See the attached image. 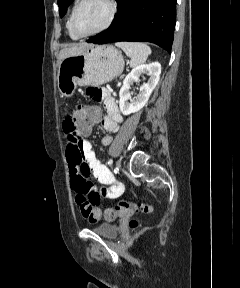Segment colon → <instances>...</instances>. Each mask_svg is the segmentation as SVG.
Masks as SVG:
<instances>
[{"mask_svg": "<svg viewBox=\"0 0 240 288\" xmlns=\"http://www.w3.org/2000/svg\"><path fill=\"white\" fill-rule=\"evenodd\" d=\"M71 115V121L78 130H90L98 122L100 117V110L95 106L78 105L74 108ZM100 198L91 197L87 198L82 194L76 196V203L79 206L82 216L90 222H96L101 219L113 221L116 218H129L132 217L139 210L150 212L151 207L145 204H136L132 202L122 201L114 207L105 210L99 209L96 204ZM135 221L130 222L131 227H136Z\"/></svg>", "mask_w": 240, "mask_h": 288, "instance_id": "colon-1", "label": "colon"}]
</instances>
